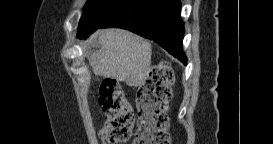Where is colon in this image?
I'll return each instance as SVG.
<instances>
[{
    "mask_svg": "<svg viewBox=\"0 0 273 144\" xmlns=\"http://www.w3.org/2000/svg\"><path fill=\"white\" fill-rule=\"evenodd\" d=\"M173 72L169 64L155 66L136 92L138 121L136 144H170L167 107L172 98ZM99 104L105 115L100 137L105 144L127 142L134 114L115 79H106L99 89Z\"/></svg>",
    "mask_w": 273,
    "mask_h": 144,
    "instance_id": "obj_1",
    "label": "colon"
}]
</instances>
